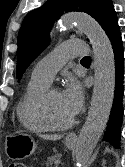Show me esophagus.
<instances>
[{
	"mask_svg": "<svg viewBox=\"0 0 125 167\" xmlns=\"http://www.w3.org/2000/svg\"><path fill=\"white\" fill-rule=\"evenodd\" d=\"M68 140H75L77 137L74 133H69L67 134V137H66Z\"/></svg>",
	"mask_w": 125,
	"mask_h": 167,
	"instance_id": "1",
	"label": "esophagus"
}]
</instances>
